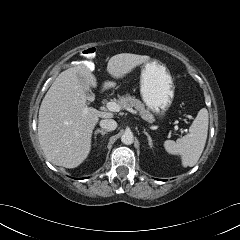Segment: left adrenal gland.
Returning <instances> with one entry per match:
<instances>
[{
    "label": "left adrenal gland",
    "instance_id": "left-adrenal-gland-1",
    "mask_svg": "<svg viewBox=\"0 0 240 240\" xmlns=\"http://www.w3.org/2000/svg\"><path fill=\"white\" fill-rule=\"evenodd\" d=\"M143 133L147 136V139H148L149 145H150V147L152 148V147H153V142H152L151 136L149 135V133L146 131L145 128H144Z\"/></svg>",
    "mask_w": 240,
    "mask_h": 240
}]
</instances>
